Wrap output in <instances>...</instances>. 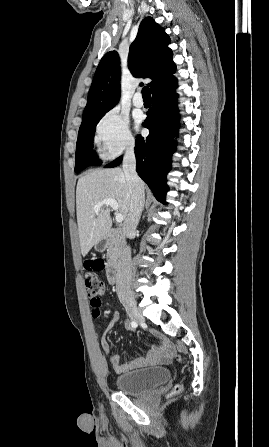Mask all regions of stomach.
Instances as JSON below:
<instances>
[{"label":"stomach","mask_w":269,"mask_h":447,"mask_svg":"<svg viewBox=\"0 0 269 447\" xmlns=\"http://www.w3.org/2000/svg\"><path fill=\"white\" fill-rule=\"evenodd\" d=\"M96 251H102V249H106L107 247V243L105 241V243H103V245H100V243H95L94 245Z\"/></svg>","instance_id":"obj_1"}]
</instances>
